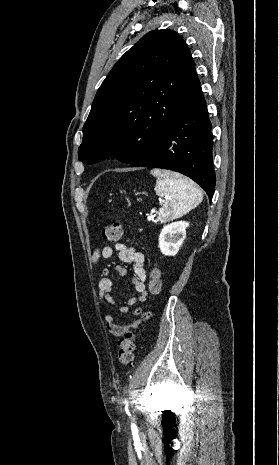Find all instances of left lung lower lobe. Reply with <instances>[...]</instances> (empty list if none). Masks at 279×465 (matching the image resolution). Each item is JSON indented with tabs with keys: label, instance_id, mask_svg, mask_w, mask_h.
I'll return each mask as SVG.
<instances>
[{
	"label": "left lung lower lobe",
	"instance_id": "obj_1",
	"mask_svg": "<svg viewBox=\"0 0 279 465\" xmlns=\"http://www.w3.org/2000/svg\"><path fill=\"white\" fill-rule=\"evenodd\" d=\"M211 122L196 79L188 100L165 133L131 167H154L182 173L199 184L211 201L215 189Z\"/></svg>",
	"mask_w": 279,
	"mask_h": 465
}]
</instances>
